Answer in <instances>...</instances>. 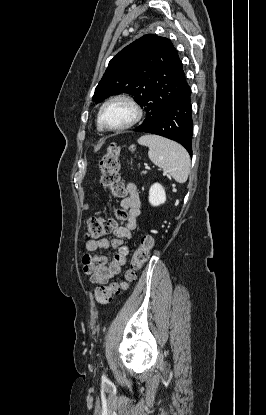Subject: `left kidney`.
Instances as JSON below:
<instances>
[{"instance_id": "obj_1", "label": "left kidney", "mask_w": 266, "mask_h": 415, "mask_svg": "<svg viewBox=\"0 0 266 415\" xmlns=\"http://www.w3.org/2000/svg\"><path fill=\"white\" fill-rule=\"evenodd\" d=\"M166 193L163 186L159 183H155L149 190V202L152 206H159L165 203Z\"/></svg>"}]
</instances>
